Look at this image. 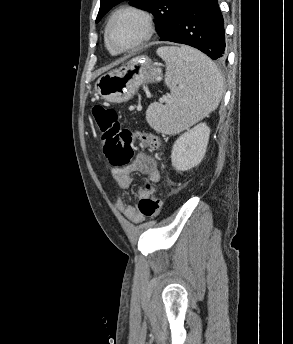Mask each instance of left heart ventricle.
<instances>
[{
  "label": "left heart ventricle",
  "mask_w": 293,
  "mask_h": 344,
  "mask_svg": "<svg viewBox=\"0 0 293 344\" xmlns=\"http://www.w3.org/2000/svg\"><path fill=\"white\" fill-rule=\"evenodd\" d=\"M141 34L140 20L132 14H123L115 19L110 28V41L115 48H124L135 43Z\"/></svg>",
  "instance_id": "obj_1"
}]
</instances>
